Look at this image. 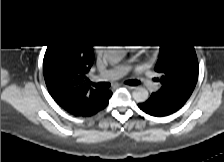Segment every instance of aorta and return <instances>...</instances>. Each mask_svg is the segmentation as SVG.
<instances>
[{"label":"aorta","instance_id":"aorta-1","mask_svg":"<svg viewBox=\"0 0 224 162\" xmlns=\"http://www.w3.org/2000/svg\"><path fill=\"white\" fill-rule=\"evenodd\" d=\"M122 56L121 51H113V53L107 54L106 57L110 63L115 64L122 59ZM132 97L136 102L142 103L149 98V92L146 88L136 87L132 92Z\"/></svg>","mask_w":224,"mask_h":162}]
</instances>
